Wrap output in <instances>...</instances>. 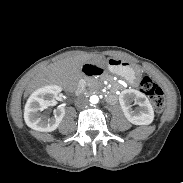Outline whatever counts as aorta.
Instances as JSON below:
<instances>
[{"label": "aorta", "mask_w": 183, "mask_h": 183, "mask_svg": "<svg viewBox=\"0 0 183 183\" xmlns=\"http://www.w3.org/2000/svg\"><path fill=\"white\" fill-rule=\"evenodd\" d=\"M90 102H91L92 104H97V103L99 102V97H98L97 95H92V96L90 97Z\"/></svg>", "instance_id": "aorta-1"}]
</instances>
